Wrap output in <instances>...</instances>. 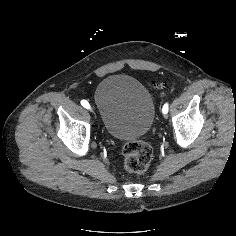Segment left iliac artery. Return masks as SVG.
<instances>
[{
  "mask_svg": "<svg viewBox=\"0 0 236 236\" xmlns=\"http://www.w3.org/2000/svg\"><path fill=\"white\" fill-rule=\"evenodd\" d=\"M168 107H169V106H168V103H165L164 106H163V108H162V111H163V110H166L167 113H168V109H169Z\"/></svg>",
  "mask_w": 236,
  "mask_h": 236,
  "instance_id": "left-iliac-artery-1",
  "label": "left iliac artery"
}]
</instances>
